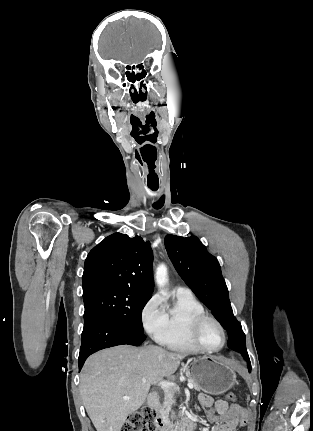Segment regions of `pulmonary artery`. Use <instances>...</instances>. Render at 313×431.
<instances>
[{"label":"pulmonary artery","mask_w":313,"mask_h":431,"mask_svg":"<svg viewBox=\"0 0 313 431\" xmlns=\"http://www.w3.org/2000/svg\"><path fill=\"white\" fill-rule=\"evenodd\" d=\"M176 292L178 294H189V293H191L190 289H188L187 287H184V286H177Z\"/></svg>","instance_id":"1"}]
</instances>
